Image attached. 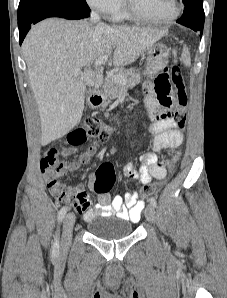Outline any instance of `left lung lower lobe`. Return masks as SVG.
<instances>
[{
  "label": "left lung lower lobe",
  "instance_id": "obj_1",
  "mask_svg": "<svg viewBox=\"0 0 227 298\" xmlns=\"http://www.w3.org/2000/svg\"><path fill=\"white\" fill-rule=\"evenodd\" d=\"M186 27L191 28L192 30H194L195 32H200V34L202 35L203 32V26L197 25V24H188Z\"/></svg>",
  "mask_w": 227,
  "mask_h": 298
}]
</instances>
